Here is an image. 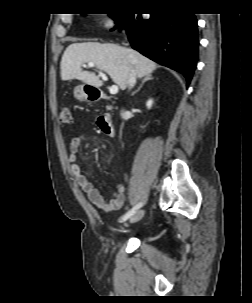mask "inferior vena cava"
I'll use <instances>...</instances> for the list:
<instances>
[{"label": "inferior vena cava", "instance_id": "inferior-vena-cava-1", "mask_svg": "<svg viewBox=\"0 0 252 303\" xmlns=\"http://www.w3.org/2000/svg\"><path fill=\"white\" fill-rule=\"evenodd\" d=\"M135 83H136V72L132 69L130 71L129 78H128V88L132 89L134 87ZM121 116L122 117L124 116L123 112H121Z\"/></svg>", "mask_w": 252, "mask_h": 303}]
</instances>
